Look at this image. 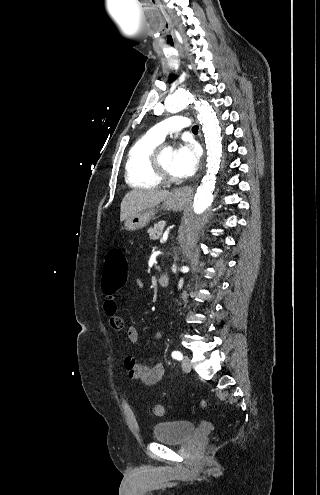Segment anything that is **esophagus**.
<instances>
[{
    "label": "esophagus",
    "mask_w": 320,
    "mask_h": 495,
    "mask_svg": "<svg viewBox=\"0 0 320 495\" xmlns=\"http://www.w3.org/2000/svg\"><path fill=\"white\" fill-rule=\"evenodd\" d=\"M194 188L185 186L176 190L175 195L182 200H190L193 197Z\"/></svg>",
    "instance_id": "obj_1"
}]
</instances>
